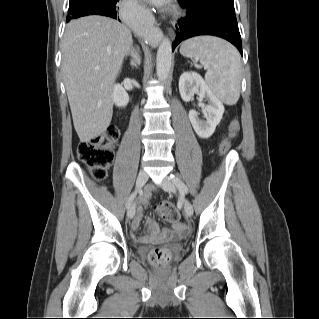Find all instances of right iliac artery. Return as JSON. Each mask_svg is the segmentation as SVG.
<instances>
[{"mask_svg": "<svg viewBox=\"0 0 319 319\" xmlns=\"http://www.w3.org/2000/svg\"><path fill=\"white\" fill-rule=\"evenodd\" d=\"M136 195H137V191L133 192V193L130 195V197L128 198L127 203H126V207H127V208L130 207V205H131L132 201L134 200V198L136 197Z\"/></svg>", "mask_w": 319, "mask_h": 319, "instance_id": "1", "label": "right iliac artery"}]
</instances>
